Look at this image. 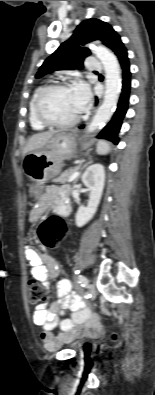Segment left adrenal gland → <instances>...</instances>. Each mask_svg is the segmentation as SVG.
Here are the masks:
<instances>
[{"label":"left adrenal gland","mask_w":155,"mask_h":395,"mask_svg":"<svg viewBox=\"0 0 155 395\" xmlns=\"http://www.w3.org/2000/svg\"><path fill=\"white\" fill-rule=\"evenodd\" d=\"M92 162H93V161H92V158L89 157L88 160H87V162L80 168V173H79V175L76 177L75 181L73 182V185H74V186H75V184L77 183V181L79 180V178L81 177V171H82L84 168H86L89 164H91Z\"/></svg>","instance_id":"left-adrenal-gland-1"}]
</instances>
